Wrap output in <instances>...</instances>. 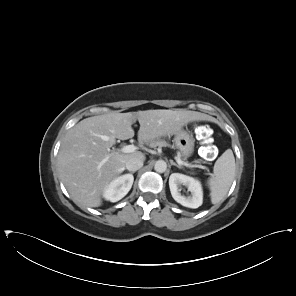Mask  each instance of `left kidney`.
<instances>
[{"label": "left kidney", "mask_w": 296, "mask_h": 296, "mask_svg": "<svg viewBox=\"0 0 296 296\" xmlns=\"http://www.w3.org/2000/svg\"><path fill=\"white\" fill-rule=\"evenodd\" d=\"M181 185L188 188L191 196L181 195ZM169 187L173 199L188 208H198L203 203V190L199 180L180 173H172L169 177Z\"/></svg>", "instance_id": "1"}]
</instances>
